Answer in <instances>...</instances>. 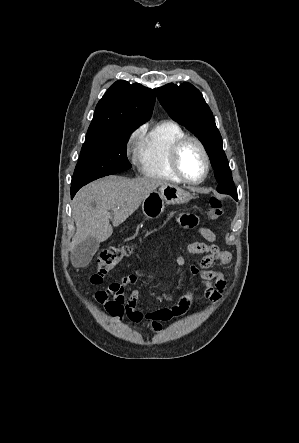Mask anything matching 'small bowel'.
Here are the masks:
<instances>
[{"label":"small bowel","mask_w":299,"mask_h":443,"mask_svg":"<svg viewBox=\"0 0 299 443\" xmlns=\"http://www.w3.org/2000/svg\"><path fill=\"white\" fill-rule=\"evenodd\" d=\"M177 222L184 228H196L206 242H190L186 248L190 254L203 255L197 264L189 263L185 257L179 256L176 259L178 266L186 269L191 275L200 279L203 287L204 297L209 301H217L227 284L223 272L211 269L215 263L228 264L231 260L229 251L220 248L216 244L215 233L207 228L198 226V218L193 214H179ZM138 279V274H129L117 282L108 285L104 290L95 293V299L102 304L106 311L121 322L124 315L131 321H149L155 332L161 329V321L184 314L194 300L192 289L187 288L177 303L165 308H160L152 312H142L137 308L138 292L128 293L127 289Z\"/></svg>","instance_id":"obj_1"}]
</instances>
